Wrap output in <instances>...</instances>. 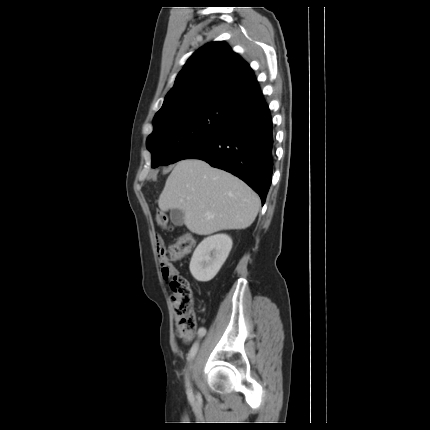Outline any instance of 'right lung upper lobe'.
<instances>
[{
  "label": "right lung upper lobe",
  "instance_id": "cb5924a9",
  "mask_svg": "<svg viewBox=\"0 0 430 430\" xmlns=\"http://www.w3.org/2000/svg\"><path fill=\"white\" fill-rule=\"evenodd\" d=\"M260 95L247 62L225 41L207 43L187 60L153 122L204 101H224L232 110H241Z\"/></svg>",
  "mask_w": 430,
  "mask_h": 430
}]
</instances>
